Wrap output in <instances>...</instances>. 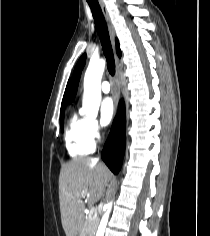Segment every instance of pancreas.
I'll return each instance as SVG.
<instances>
[{"label": "pancreas", "mask_w": 210, "mask_h": 236, "mask_svg": "<svg viewBox=\"0 0 210 236\" xmlns=\"http://www.w3.org/2000/svg\"><path fill=\"white\" fill-rule=\"evenodd\" d=\"M98 226V219L88 217L84 223L83 236H94Z\"/></svg>", "instance_id": "obj_1"}]
</instances>
